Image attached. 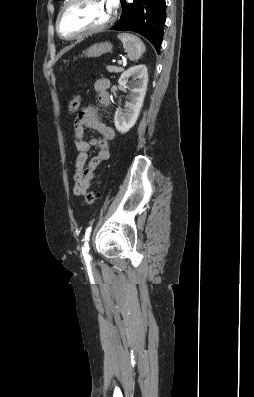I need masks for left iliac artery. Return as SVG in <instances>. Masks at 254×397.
<instances>
[{
  "instance_id": "left-iliac-artery-1",
  "label": "left iliac artery",
  "mask_w": 254,
  "mask_h": 397,
  "mask_svg": "<svg viewBox=\"0 0 254 397\" xmlns=\"http://www.w3.org/2000/svg\"><path fill=\"white\" fill-rule=\"evenodd\" d=\"M91 229H92L91 226L87 228L86 233H85V238H84V241H85L84 242V246L82 247V253L84 255L85 260H90L91 259L90 255L88 254V250H89L88 240H89V236H90V233H91Z\"/></svg>"
}]
</instances>
